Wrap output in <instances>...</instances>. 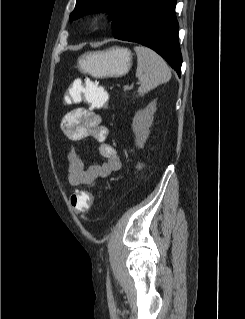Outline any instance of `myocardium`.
Instances as JSON below:
<instances>
[{"label": "myocardium", "instance_id": "1", "mask_svg": "<svg viewBox=\"0 0 245 319\" xmlns=\"http://www.w3.org/2000/svg\"><path fill=\"white\" fill-rule=\"evenodd\" d=\"M103 22V19H102V17H100V16H96V17H94V19H93V23L95 24V25H99V24H101Z\"/></svg>", "mask_w": 245, "mask_h": 319}]
</instances>
